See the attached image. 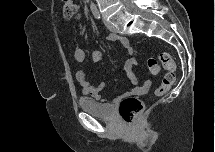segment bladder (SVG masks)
Segmentation results:
<instances>
[{
    "instance_id": "31cf9c89",
    "label": "bladder",
    "mask_w": 215,
    "mask_h": 152,
    "mask_svg": "<svg viewBox=\"0 0 215 152\" xmlns=\"http://www.w3.org/2000/svg\"><path fill=\"white\" fill-rule=\"evenodd\" d=\"M79 104L85 112L97 117L112 119L115 116L114 106L110 103H102L92 98L82 97Z\"/></svg>"
}]
</instances>
